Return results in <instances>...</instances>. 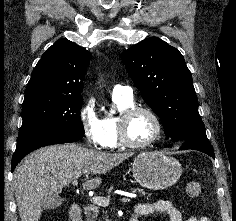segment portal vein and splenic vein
<instances>
[{
	"label": "portal vein and splenic vein",
	"instance_id": "18ae733b",
	"mask_svg": "<svg viewBox=\"0 0 236 221\" xmlns=\"http://www.w3.org/2000/svg\"><path fill=\"white\" fill-rule=\"evenodd\" d=\"M72 184L76 186L78 184L77 180H73ZM121 202H130L131 198L129 197H123L119 199ZM91 202L98 205V206H103L106 207L110 204V198L103 197V196H95L91 198Z\"/></svg>",
	"mask_w": 236,
	"mask_h": 221
}]
</instances>
